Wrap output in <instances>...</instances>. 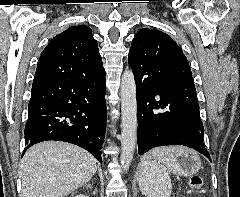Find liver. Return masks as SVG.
Wrapping results in <instances>:
<instances>
[{"label":"liver","mask_w":240,"mask_h":197,"mask_svg":"<svg viewBox=\"0 0 240 197\" xmlns=\"http://www.w3.org/2000/svg\"><path fill=\"white\" fill-rule=\"evenodd\" d=\"M97 160L85 149L61 141L30 147L20 163V197H65L91 180Z\"/></svg>","instance_id":"6515ba94"}]
</instances>
